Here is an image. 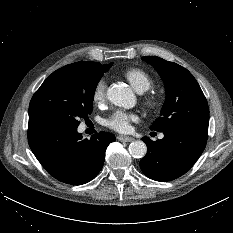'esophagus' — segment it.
<instances>
[{"instance_id":"1","label":"esophagus","mask_w":233,"mask_h":233,"mask_svg":"<svg viewBox=\"0 0 233 233\" xmlns=\"http://www.w3.org/2000/svg\"><path fill=\"white\" fill-rule=\"evenodd\" d=\"M117 139L121 142H132L134 140L133 137L123 136V135L118 136Z\"/></svg>"}]
</instances>
